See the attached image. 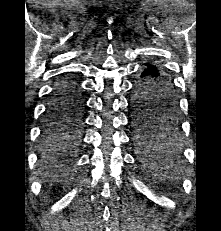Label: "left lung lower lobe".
Instances as JSON below:
<instances>
[{
  "instance_id": "obj_1",
  "label": "left lung lower lobe",
  "mask_w": 221,
  "mask_h": 231,
  "mask_svg": "<svg viewBox=\"0 0 221 231\" xmlns=\"http://www.w3.org/2000/svg\"><path fill=\"white\" fill-rule=\"evenodd\" d=\"M146 64V67L139 71L138 76L134 82V94L132 100L141 95V89L159 85L155 80V72ZM148 104L155 108L156 106L162 104V99H160V97H152L148 100ZM177 125L178 120H176L175 123H172L169 127V130H166V132L158 133L157 135L149 137L145 142H137L140 143L143 150L150 155H155L160 159L170 158L176 155L180 148L176 140V136L174 135Z\"/></svg>"
}]
</instances>
